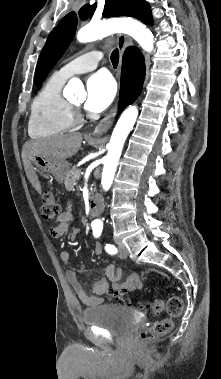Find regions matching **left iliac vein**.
Segmentation results:
<instances>
[{
    "instance_id": "1",
    "label": "left iliac vein",
    "mask_w": 221,
    "mask_h": 379,
    "mask_svg": "<svg viewBox=\"0 0 221 379\" xmlns=\"http://www.w3.org/2000/svg\"><path fill=\"white\" fill-rule=\"evenodd\" d=\"M118 255L121 258H127L128 250L123 243H118Z\"/></svg>"
}]
</instances>
